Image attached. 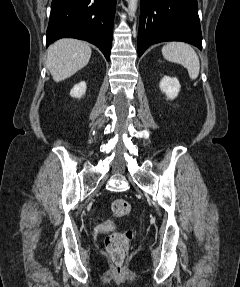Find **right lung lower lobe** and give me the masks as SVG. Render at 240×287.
<instances>
[{"label":"right lung lower lobe","mask_w":240,"mask_h":287,"mask_svg":"<svg viewBox=\"0 0 240 287\" xmlns=\"http://www.w3.org/2000/svg\"><path fill=\"white\" fill-rule=\"evenodd\" d=\"M116 0H52L46 45L76 38L96 45L110 59Z\"/></svg>","instance_id":"98d812e1"}]
</instances>
